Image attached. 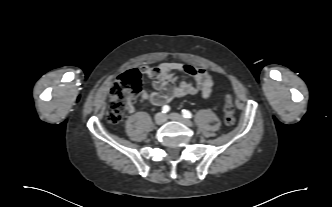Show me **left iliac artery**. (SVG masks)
<instances>
[{"mask_svg":"<svg viewBox=\"0 0 332 207\" xmlns=\"http://www.w3.org/2000/svg\"><path fill=\"white\" fill-rule=\"evenodd\" d=\"M182 115H183L184 118H187V119L192 118V113L188 110H185V109L182 110Z\"/></svg>","mask_w":332,"mask_h":207,"instance_id":"left-iliac-artery-1","label":"left iliac artery"}]
</instances>
